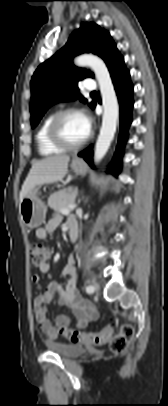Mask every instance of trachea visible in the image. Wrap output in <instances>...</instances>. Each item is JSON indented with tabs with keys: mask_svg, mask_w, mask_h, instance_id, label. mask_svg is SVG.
I'll return each instance as SVG.
<instances>
[{
	"mask_svg": "<svg viewBox=\"0 0 168 406\" xmlns=\"http://www.w3.org/2000/svg\"><path fill=\"white\" fill-rule=\"evenodd\" d=\"M91 94H96V92L94 91V92H92Z\"/></svg>",
	"mask_w": 168,
	"mask_h": 406,
	"instance_id": "1",
	"label": "trachea"
}]
</instances>
